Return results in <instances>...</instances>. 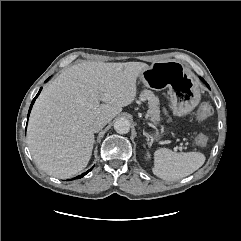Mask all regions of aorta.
Instances as JSON below:
<instances>
[{"instance_id":"obj_1","label":"aorta","mask_w":241,"mask_h":241,"mask_svg":"<svg viewBox=\"0 0 241 241\" xmlns=\"http://www.w3.org/2000/svg\"><path fill=\"white\" fill-rule=\"evenodd\" d=\"M114 129L119 134H126L130 131V122L125 118H119L114 123Z\"/></svg>"}]
</instances>
